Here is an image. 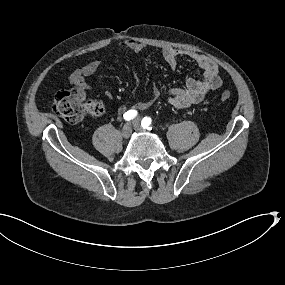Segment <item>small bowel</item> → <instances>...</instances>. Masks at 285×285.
Wrapping results in <instances>:
<instances>
[{
	"label": "small bowel",
	"mask_w": 285,
	"mask_h": 285,
	"mask_svg": "<svg viewBox=\"0 0 285 285\" xmlns=\"http://www.w3.org/2000/svg\"><path fill=\"white\" fill-rule=\"evenodd\" d=\"M121 46L134 53H141L144 50V46L133 39L123 40ZM162 56L172 67H175L178 64L179 58L187 56L201 69V77L199 79L189 78L185 87L172 88L168 91V101L174 107L183 109L197 104L201 102L211 91L221 87L222 78L220 76L219 66L207 56L174 48L163 49ZM100 66L101 60L95 59L86 65L79 67L70 76L71 84L82 92L89 90L90 85L87 82V77L94 75ZM106 96L112 97V93L110 91H106ZM158 96L159 90L154 86L149 99L137 102L134 105V108L138 110L146 109L155 102ZM127 110L128 108L126 106H120L118 108V112L120 114H125Z\"/></svg>",
	"instance_id": "1"
}]
</instances>
